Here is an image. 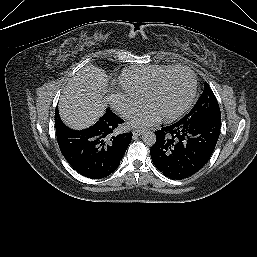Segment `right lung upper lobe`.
<instances>
[{"mask_svg": "<svg viewBox=\"0 0 257 257\" xmlns=\"http://www.w3.org/2000/svg\"><path fill=\"white\" fill-rule=\"evenodd\" d=\"M62 121H61V119H60V117H59V114H58V111H56V113H55V124H57L58 126H60V125H62Z\"/></svg>", "mask_w": 257, "mask_h": 257, "instance_id": "obj_1", "label": "right lung upper lobe"}]
</instances>
